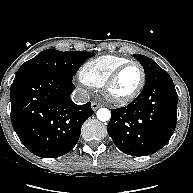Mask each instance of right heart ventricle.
Wrapping results in <instances>:
<instances>
[{"label": "right heart ventricle", "mask_w": 193, "mask_h": 193, "mask_svg": "<svg viewBox=\"0 0 193 193\" xmlns=\"http://www.w3.org/2000/svg\"><path fill=\"white\" fill-rule=\"evenodd\" d=\"M130 61L116 55H103L84 63L79 71V77L88 86L101 88L108 76L120 65Z\"/></svg>", "instance_id": "obj_1"}]
</instances>
